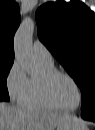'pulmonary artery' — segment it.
<instances>
[{
  "mask_svg": "<svg viewBox=\"0 0 95 130\" xmlns=\"http://www.w3.org/2000/svg\"><path fill=\"white\" fill-rule=\"evenodd\" d=\"M33 54L41 63L48 65L53 64V58L50 51L39 40H36L33 43Z\"/></svg>",
  "mask_w": 95,
  "mask_h": 130,
  "instance_id": "obj_1",
  "label": "pulmonary artery"
}]
</instances>
